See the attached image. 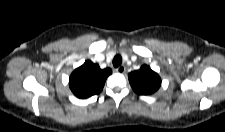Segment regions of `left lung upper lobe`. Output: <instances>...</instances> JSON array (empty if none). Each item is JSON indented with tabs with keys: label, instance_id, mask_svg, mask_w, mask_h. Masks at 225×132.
<instances>
[{
	"label": "left lung upper lobe",
	"instance_id": "1",
	"mask_svg": "<svg viewBox=\"0 0 225 132\" xmlns=\"http://www.w3.org/2000/svg\"><path fill=\"white\" fill-rule=\"evenodd\" d=\"M128 78L133 90L140 95L153 94L161 85L159 75L147 65L129 73Z\"/></svg>",
	"mask_w": 225,
	"mask_h": 132
}]
</instances>
